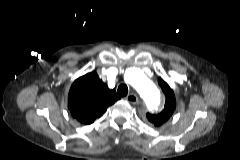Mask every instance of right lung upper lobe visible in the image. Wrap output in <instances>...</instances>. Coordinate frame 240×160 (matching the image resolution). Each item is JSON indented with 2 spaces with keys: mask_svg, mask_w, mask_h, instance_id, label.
Listing matches in <instances>:
<instances>
[{
  "mask_svg": "<svg viewBox=\"0 0 240 160\" xmlns=\"http://www.w3.org/2000/svg\"><path fill=\"white\" fill-rule=\"evenodd\" d=\"M118 99L115 90H110L95 72H91L79 77L72 84L68 108L74 118L88 125Z\"/></svg>",
  "mask_w": 240,
  "mask_h": 160,
  "instance_id": "obj_1",
  "label": "right lung upper lobe"
}]
</instances>
